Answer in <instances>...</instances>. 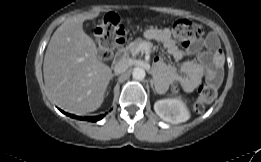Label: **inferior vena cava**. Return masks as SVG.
I'll list each match as a JSON object with an SVG mask.
<instances>
[{
    "label": "inferior vena cava",
    "mask_w": 261,
    "mask_h": 162,
    "mask_svg": "<svg viewBox=\"0 0 261 162\" xmlns=\"http://www.w3.org/2000/svg\"><path fill=\"white\" fill-rule=\"evenodd\" d=\"M129 66H130L129 60H127L125 58H121L114 64L113 69H114L115 73L120 74V73L125 72Z\"/></svg>",
    "instance_id": "1"
}]
</instances>
